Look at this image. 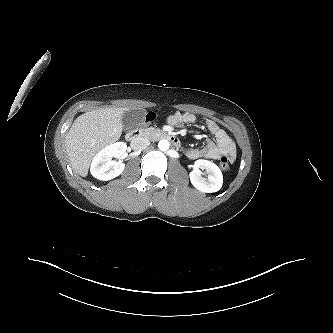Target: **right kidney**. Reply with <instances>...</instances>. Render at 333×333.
Returning a JSON list of instances; mask_svg holds the SVG:
<instances>
[{
	"mask_svg": "<svg viewBox=\"0 0 333 333\" xmlns=\"http://www.w3.org/2000/svg\"><path fill=\"white\" fill-rule=\"evenodd\" d=\"M126 148V143L116 142L100 150L91 163L92 176L101 181H108L119 176L123 172L125 164L113 161L112 158L121 156Z\"/></svg>",
	"mask_w": 333,
	"mask_h": 333,
	"instance_id": "1",
	"label": "right kidney"
}]
</instances>
